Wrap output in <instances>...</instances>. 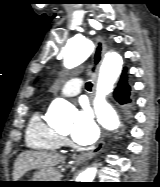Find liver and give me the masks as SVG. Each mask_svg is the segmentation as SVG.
Returning <instances> with one entry per match:
<instances>
[{
  "label": "liver",
  "mask_w": 160,
  "mask_h": 187,
  "mask_svg": "<svg viewBox=\"0 0 160 187\" xmlns=\"http://www.w3.org/2000/svg\"><path fill=\"white\" fill-rule=\"evenodd\" d=\"M64 156L47 152L25 151L15 161L13 179L19 180L26 172L33 169L53 168L64 161Z\"/></svg>",
  "instance_id": "1"
}]
</instances>
